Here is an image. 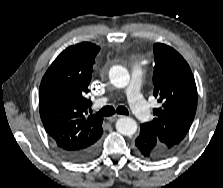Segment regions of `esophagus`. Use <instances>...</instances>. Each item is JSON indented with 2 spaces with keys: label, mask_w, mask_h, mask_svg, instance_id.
I'll list each match as a JSON object with an SVG mask.
<instances>
[{
  "label": "esophagus",
  "mask_w": 223,
  "mask_h": 188,
  "mask_svg": "<svg viewBox=\"0 0 223 188\" xmlns=\"http://www.w3.org/2000/svg\"><path fill=\"white\" fill-rule=\"evenodd\" d=\"M121 117H124V116H122V115H114L112 117H109L108 121L109 122H115L118 118H121Z\"/></svg>",
  "instance_id": "esophagus-1"
}]
</instances>
